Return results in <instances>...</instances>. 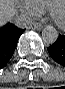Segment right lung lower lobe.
Segmentation results:
<instances>
[{
    "mask_svg": "<svg viewBox=\"0 0 65 89\" xmlns=\"http://www.w3.org/2000/svg\"><path fill=\"white\" fill-rule=\"evenodd\" d=\"M24 31L25 29L17 28L10 23L0 28V69L7 65L15 51L18 39Z\"/></svg>",
    "mask_w": 65,
    "mask_h": 89,
    "instance_id": "98d812e1",
    "label": "right lung lower lobe"
}]
</instances>
